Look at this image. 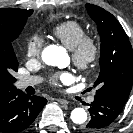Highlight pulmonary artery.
Here are the masks:
<instances>
[{
	"instance_id": "e3ab8cb5",
	"label": "pulmonary artery",
	"mask_w": 133,
	"mask_h": 133,
	"mask_svg": "<svg viewBox=\"0 0 133 133\" xmlns=\"http://www.w3.org/2000/svg\"><path fill=\"white\" fill-rule=\"evenodd\" d=\"M40 82V78L35 76H24L18 79L16 86L18 89L22 90L29 86H34ZM93 98H90L89 101L93 102Z\"/></svg>"
}]
</instances>
